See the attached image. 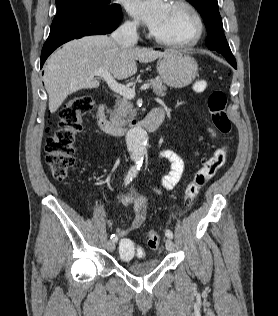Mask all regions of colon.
I'll return each mask as SVG.
<instances>
[{"label":"colon","mask_w":278,"mask_h":316,"mask_svg":"<svg viewBox=\"0 0 278 316\" xmlns=\"http://www.w3.org/2000/svg\"><path fill=\"white\" fill-rule=\"evenodd\" d=\"M207 88L205 80H197L193 89L195 92H203ZM227 97L223 91H213L207 99L208 110L214 127L224 135L230 133L231 122L226 114ZM93 101L89 96H80L67 105L60 112V121L57 130L47 138L45 143L46 162L55 180L63 182L68 177V172L74 164L75 141L82 130V117L92 109ZM227 159V147H218L207 158L199 170L194 174L186 186L184 202L191 205L198 197L205 184L222 168ZM159 234L149 231L147 234V246L156 250L159 246ZM119 253L124 259H130L137 255L143 257L145 252L137 249L130 239H122L119 243Z\"/></svg>","instance_id":"colon-1"}]
</instances>
